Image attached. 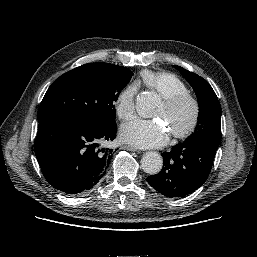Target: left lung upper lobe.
I'll return each mask as SVG.
<instances>
[{
	"label": "left lung upper lobe",
	"instance_id": "1",
	"mask_svg": "<svg viewBox=\"0 0 257 257\" xmlns=\"http://www.w3.org/2000/svg\"><path fill=\"white\" fill-rule=\"evenodd\" d=\"M193 87L199 104L198 122L194 133L187 140H208L221 143V107L210 84L199 75L174 66Z\"/></svg>",
	"mask_w": 257,
	"mask_h": 257
}]
</instances>
